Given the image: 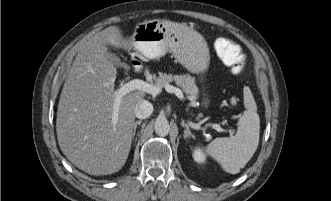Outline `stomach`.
<instances>
[{
	"mask_svg": "<svg viewBox=\"0 0 331 201\" xmlns=\"http://www.w3.org/2000/svg\"><path fill=\"white\" fill-rule=\"evenodd\" d=\"M128 48L147 59H158L171 53L192 73L207 70L210 55L203 36L184 24L169 20H150L136 25L132 36L126 39ZM207 101L204 105H207Z\"/></svg>",
	"mask_w": 331,
	"mask_h": 201,
	"instance_id": "obj_1",
	"label": "stomach"
}]
</instances>
